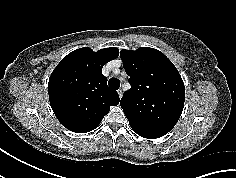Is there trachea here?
Segmentation results:
<instances>
[{"label": "trachea", "instance_id": "3493384b", "mask_svg": "<svg viewBox=\"0 0 236 178\" xmlns=\"http://www.w3.org/2000/svg\"><path fill=\"white\" fill-rule=\"evenodd\" d=\"M108 85H109L111 88L117 90V89H119V87H120V81H119V79L111 78V79H109V81H108Z\"/></svg>", "mask_w": 236, "mask_h": 178}]
</instances>
